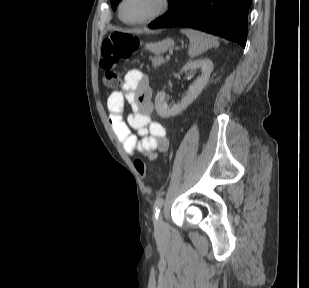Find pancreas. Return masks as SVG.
I'll return each instance as SVG.
<instances>
[{
    "mask_svg": "<svg viewBox=\"0 0 309 288\" xmlns=\"http://www.w3.org/2000/svg\"><path fill=\"white\" fill-rule=\"evenodd\" d=\"M151 62L154 67H158L165 64L166 60L162 56H155L151 58Z\"/></svg>",
    "mask_w": 309,
    "mask_h": 288,
    "instance_id": "cf45deb5",
    "label": "pancreas"
}]
</instances>
